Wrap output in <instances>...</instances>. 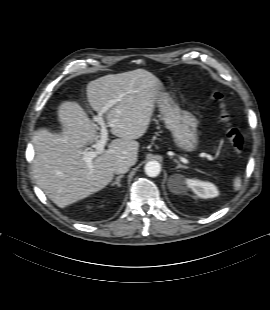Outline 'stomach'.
Returning a JSON list of instances; mask_svg holds the SVG:
<instances>
[{
  "instance_id": "1",
  "label": "stomach",
  "mask_w": 270,
  "mask_h": 310,
  "mask_svg": "<svg viewBox=\"0 0 270 310\" xmlns=\"http://www.w3.org/2000/svg\"><path fill=\"white\" fill-rule=\"evenodd\" d=\"M156 104L163 115L166 127L171 131L173 141L180 150L194 152L199 144L197 120L188 111L181 110L169 95L160 93Z\"/></svg>"
}]
</instances>
